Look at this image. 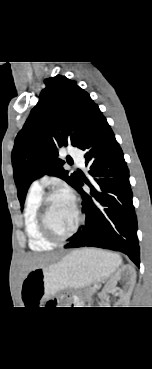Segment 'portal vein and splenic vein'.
<instances>
[{
	"instance_id": "portal-vein-and-splenic-vein-1",
	"label": "portal vein and splenic vein",
	"mask_w": 152,
	"mask_h": 369,
	"mask_svg": "<svg viewBox=\"0 0 152 369\" xmlns=\"http://www.w3.org/2000/svg\"><path fill=\"white\" fill-rule=\"evenodd\" d=\"M94 289H95V291H96V289H97V286H95V287H94Z\"/></svg>"
}]
</instances>
